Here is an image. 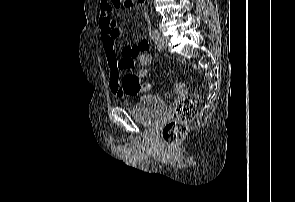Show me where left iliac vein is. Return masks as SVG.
Here are the masks:
<instances>
[{
  "mask_svg": "<svg viewBox=\"0 0 295 202\" xmlns=\"http://www.w3.org/2000/svg\"><path fill=\"white\" fill-rule=\"evenodd\" d=\"M169 41V37L166 35H160L159 43L162 47H166Z\"/></svg>",
  "mask_w": 295,
  "mask_h": 202,
  "instance_id": "1",
  "label": "left iliac vein"
}]
</instances>
